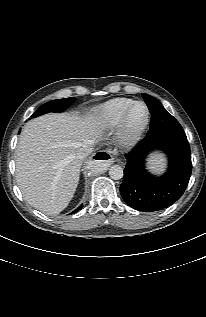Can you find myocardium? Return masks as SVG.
Masks as SVG:
<instances>
[{
  "mask_svg": "<svg viewBox=\"0 0 206 317\" xmlns=\"http://www.w3.org/2000/svg\"><path fill=\"white\" fill-rule=\"evenodd\" d=\"M142 105L145 110V118L143 121L137 125H132L130 122V117L132 114V111L136 106ZM150 120V110L146 103L141 101H136L132 103L126 111L123 113L120 121L118 122V139L122 145H132L136 141L139 140L143 132L148 126Z\"/></svg>",
  "mask_w": 206,
  "mask_h": 317,
  "instance_id": "obj_1",
  "label": "myocardium"
}]
</instances>
